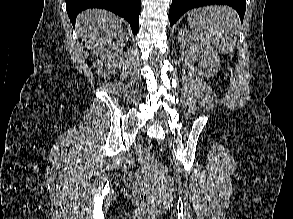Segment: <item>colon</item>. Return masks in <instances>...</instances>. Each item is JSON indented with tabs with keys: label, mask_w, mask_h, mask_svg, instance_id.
<instances>
[{
	"label": "colon",
	"mask_w": 293,
	"mask_h": 219,
	"mask_svg": "<svg viewBox=\"0 0 293 219\" xmlns=\"http://www.w3.org/2000/svg\"><path fill=\"white\" fill-rule=\"evenodd\" d=\"M151 141L146 139L141 142L139 146V152L143 159L148 160L150 158V151H151ZM134 198L135 200L143 205L145 208L151 210L153 208V198L149 191L139 188L134 191Z\"/></svg>",
	"instance_id": "obj_1"
}]
</instances>
